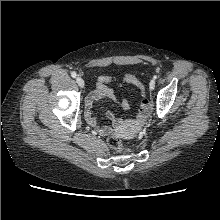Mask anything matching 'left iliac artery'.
<instances>
[{
  "instance_id": "obj_1",
  "label": "left iliac artery",
  "mask_w": 220,
  "mask_h": 220,
  "mask_svg": "<svg viewBox=\"0 0 220 220\" xmlns=\"http://www.w3.org/2000/svg\"><path fill=\"white\" fill-rule=\"evenodd\" d=\"M153 78H154V80H155V79H157V75H154V77H153Z\"/></svg>"
}]
</instances>
